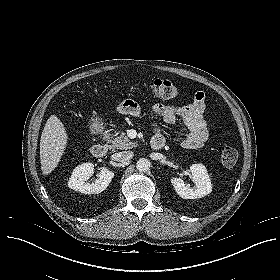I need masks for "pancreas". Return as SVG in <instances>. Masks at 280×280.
Returning <instances> with one entry per match:
<instances>
[{
    "label": "pancreas",
    "mask_w": 280,
    "mask_h": 280,
    "mask_svg": "<svg viewBox=\"0 0 280 280\" xmlns=\"http://www.w3.org/2000/svg\"><path fill=\"white\" fill-rule=\"evenodd\" d=\"M105 138L111 143L110 148L112 149L127 150L137 146V143L131 141L124 132L116 134H110L107 132Z\"/></svg>",
    "instance_id": "pancreas-1"
}]
</instances>
